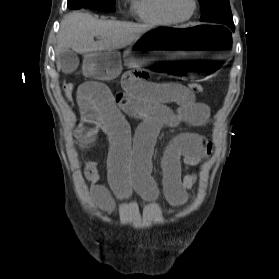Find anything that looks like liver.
<instances>
[{
  "instance_id": "6515ba94",
  "label": "liver",
  "mask_w": 279,
  "mask_h": 279,
  "mask_svg": "<svg viewBox=\"0 0 279 279\" xmlns=\"http://www.w3.org/2000/svg\"><path fill=\"white\" fill-rule=\"evenodd\" d=\"M150 29V25L100 20L88 13H69L60 25L56 56L59 57L65 50L72 49L93 57L101 51L128 46ZM94 37H100L101 40L96 42ZM57 69H60L58 61Z\"/></svg>"
}]
</instances>
